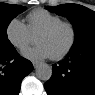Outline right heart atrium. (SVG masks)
<instances>
[{
  "label": "right heart atrium",
  "mask_w": 95,
  "mask_h": 95,
  "mask_svg": "<svg viewBox=\"0 0 95 95\" xmlns=\"http://www.w3.org/2000/svg\"><path fill=\"white\" fill-rule=\"evenodd\" d=\"M5 33L8 41L19 50L25 49L32 42V34L27 25L18 18L8 22Z\"/></svg>",
  "instance_id": "d8ad5b80"
}]
</instances>
